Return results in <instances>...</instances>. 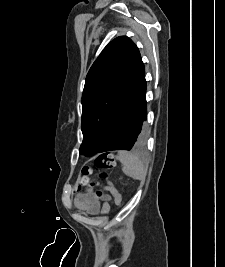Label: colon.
Listing matches in <instances>:
<instances>
[{
    "label": "colon",
    "instance_id": "1",
    "mask_svg": "<svg viewBox=\"0 0 225 267\" xmlns=\"http://www.w3.org/2000/svg\"><path fill=\"white\" fill-rule=\"evenodd\" d=\"M95 166L101 171L100 176L102 178H105L107 176V171L112 169L115 165V157L110 152H104L101 153L94 162ZM92 173V168L89 165H86L82 168L81 171V177L78 182V188L79 189H85L93 187L95 184L93 181H91L90 176ZM96 194L99 197H102L104 195L103 190H97ZM122 202V198L119 201V204ZM110 211V203L108 200H104L101 214L103 216H106Z\"/></svg>",
    "mask_w": 225,
    "mask_h": 267
}]
</instances>
